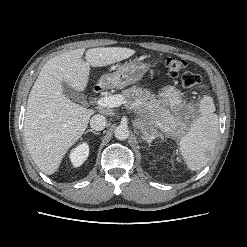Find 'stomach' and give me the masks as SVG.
<instances>
[{"mask_svg": "<svg viewBox=\"0 0 247 247\" xmlns=\"http://www.w3.org/2000/svg\"><path fill=\"white\" fill-rule=\"evenodd\" d=\"M148 68L145 63L129 60L121 64L115 72L103 75L99 80V85L105 88H124L138 82ZM160 98L173 111L182 104L180 90L171 85L162 89ZM148 113L149 111L140 114L141 117L137 120V127L144 137H149L154 133L157 126L162 127L167 134L177 137H181L188 130L189 123L183 122L179 116H172L171 121L162 122L156 120L152 114L150 117Z\"/></svg>", "mask_w": 247, "mask_h": 247, "instance_id": "stomach-1", "label": "stomach"}]
</instances>
